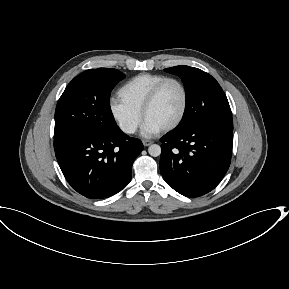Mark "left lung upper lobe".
<instances>
[{
	"instance_id": "left-lung-upper-lobe-1",
	"label": "left lung upper lobe",
	"mask_w": 289,
	"mask_h": 289,
	"mask_svg": "<svg viewBox=\"0 0 289 289\" xmlns=\"http://www.w3.org/2000/svg\"><path fill=\"white\" fill-rule=\"evenodd\" d=\"M165 71L178 75L186 91V108L177 129H186L194 124L233 129L227 97L211 75L198 68L183 65L166 68Z\"/></svg>"
}]
</instances>
